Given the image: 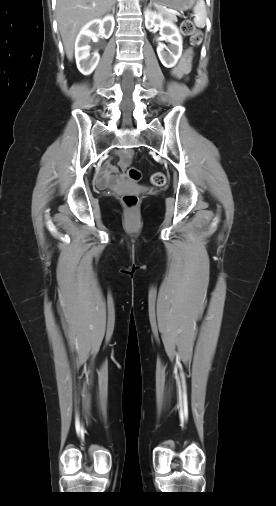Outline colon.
Masks as SVG:
<instances>
[{
  "label": "colon",
  "instance_id": "1",
  "mask_svg": "<svg viewBox=\"0 0 276 506\" xmlns=\"http://www.w3.org/2000/svg\"><path fill=\"white\" fill-rule=\"evenodd\" d=\"M180 28L183 35L189 38L192 45L198 46L202 43L203 33L194 26L191 20H183ZM128 175L134 181H139L142 177L141 171L136 168H130L128 170ZM151 182L155 186H163L166 183V176L162 172H156L151 176ZM121 199L128 210L136 209L139 203V197L132 193L124 194Z\"/></svg>",
  "mask_w": 276,
  "mask_h": 506
}]
</instances>
